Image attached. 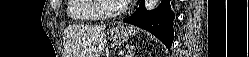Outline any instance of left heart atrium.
I'll return each mask as SVG.
<instances>
[{
    "instance_id": "1",
    "label": "left heart atrium",
    "mask_w": 249,
    "mask_h": 57,
    "mask_svg": "<svg viewBox=\"0 0 249 57\" xmlns=\"http://www.w3.org/2000/svg\"><path fill=\"white\" fill-rule=\"evenodd\" d=\"M132 0H121L122 3H129L131 2Z\"/></svg>"
}]
</instances>
